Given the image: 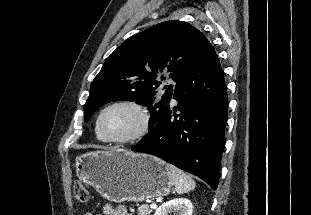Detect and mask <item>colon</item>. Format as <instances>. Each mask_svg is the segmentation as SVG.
I'll return each instance as SVG.
<instances>
[{
	"label": "colon",
	"mask_w": 311,
	"mask_h": 215,
	"mask_svg": "<svg viewBox=\"0 0 311 215\" xmlns=\"http://www.w3.org/2000/svg\"><path fill=\"white\" fill-rule=\"evenodd\" d=\"M74 197L80 203H85L88 200V191L81 183L74 186Z\"/></svg>",
	"instance_id": "5ec220e1"
}]
</instances>
